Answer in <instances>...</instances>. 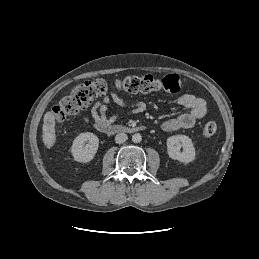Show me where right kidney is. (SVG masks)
<instances>
[{
	"label": "right kidney",
	"instance_id": "right-kidney-1",
	"mask_svg": "<svg viewBox=\"0 0 259 259\" xmlns=\"http://www.w3.org/2000/svg\"><path fill=\"white\" fill-rule=\"evenodd\" d=\"M85 142H89V144L84 145ZM98 147V137L91 132H86L79 134L74 139L70 152L75 161L87 163L95 157Z\"/></svg>",
	"mask_w": 259,
	"mask_h": 259
}]
</instances>
